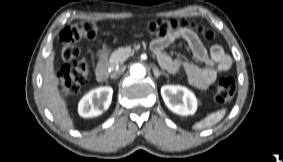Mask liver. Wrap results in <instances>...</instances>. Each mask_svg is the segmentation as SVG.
<instances>
[{
  "label": "liver",
  "mask_w": 283,
  "mask_h": 162,
  "mask_svg": "<svg viewBox=\"0 0 283 162\" xmlns=\"http://www.w3.org/2000/svg\"><path fill=\"white\" fill-rule=\"evenodd\" d=\"M59 80L54 71V52L47 58L43 72V97L54 119L65 129H73L74 123L69 115L66 101L60 95Z\"/></svg>",
  "instance_id": "obj_1"
}]
</instances>
